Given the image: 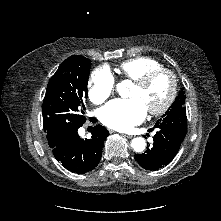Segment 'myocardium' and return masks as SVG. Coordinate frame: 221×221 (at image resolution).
Here are the masks:
<instances>
[{"label": "myocardium", "mask_w": 221, "mask_h": 221, "mask_svg": "<svg viewBox=\"0 0 221 221\" xmlns=\"http://www.w3.org/2000/svg\"><path fill=\"white\" fill-rule=\"evenodd\" d=\"M161 74H166L169 77L170 91H169V94H168L166 100L162 103V105H160L157 108L148 109V112L153 116H157V115H161V114L165 113L173 104V102L177 96V91H178L177 76L172 70H170L168 68L160 67V68L154 69V70L144 74L143 76H141L140 78L135 80L136 86H138L140 88H144L147 85H149L157 76H159Z\"/></svg>", "instance_id": "myocardium-1"}]
</instances>
